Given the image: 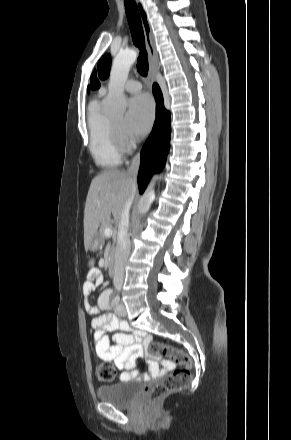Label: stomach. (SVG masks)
Here are the masks:
<instances>
[{
    "mask_svg": "<svg viewBox=\"0 0 291 440\" xmlns=\"http://www.w3.org/2000/svg\"><path fill=\"white\" fill-rule=\"evenodd\" d=\"M100 242H101V239H100L99 236H97V237L92 241V243H91V245H90V248H91V249H97L98 246H99V244H100Z\"/></svg>",
    "mask_w": 291,
    "mask_h": 440,
    "instance_id": "0dacf381",
    "label": "stomach"
}]
</instances>
